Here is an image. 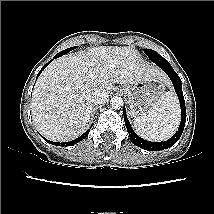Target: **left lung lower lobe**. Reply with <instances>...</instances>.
Here are the masks:
<instances>
[{"mask_svg": "<svg viewBox=\"0 0 214 214\" xmlns=\"http://www.w3.org/2000/svg\"><path fill=\"white\" fill-rule=\"evenodd\" d=\"M160 68L171 79V81L174 85V89L176 91V94L179 98L180 107H181V123L179 126V130L167 141H164V142L146 141V140L140 138L134 132V130L132 129V127H131L128 119H127L125 108L123 109L125 125H126L127 131L129 133V136H130L132 143L143 148V149H145V150H148V151L164 150V149H167V148L171 147L172 145H174L179 140V138L181 137L182 132L184 130L185 122H186V107H185V101H184V97H183V93H182L181 79L179 78L177 73L173 70L171 65L160 66Z\"/></svg>", "mask_w": 214, "mask_h": 214, "instance_id": "1", "label": "left lung lower lobe"}]
</instances>
